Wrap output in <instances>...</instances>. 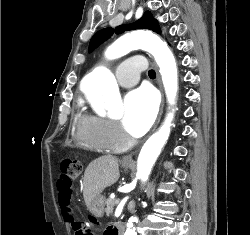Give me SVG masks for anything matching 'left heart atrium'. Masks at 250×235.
<instances>
[{"mask_svg": "<svg viewBox=\"0 0 250 235\" xmlns=\"http://www.w3.org/2000/svg\"><path fill=\"white\" fill-rule=\"evenodd\" d=\"M157 98L153 90L140 87L124 99L123 126L132 136L143 135L153 123L157 113Z\"/></svg>", "mask_w": 250, "mask_h": 235, "instance_id": "obj_1", "label": "left heart atrium"}]
</instances>
